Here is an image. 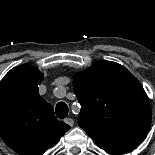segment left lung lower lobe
<instances>
[{
	"mask_svg": "<svg viewBox=\"0 0 155 155\" xmlns=\"http://www.w3.org/2000/svg\"><path fill=\"white\" fill-rule=\"evenodd\" d=\"M142 141L139 140H131L125 141L118 144H111L105 146H99L101 149L105 150L107 153L111 154H120L124 152H128L130 150L135 149Z\"/></svg>",
	"mask_w": 155,
	"mask_h": 155,
	"instance_id": "0a47b994",
	"label": "left lung lower lobe"
}]
</instances>
